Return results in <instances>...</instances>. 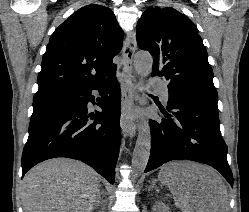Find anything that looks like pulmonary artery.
<instances>
[{
    "mask_svg": "<svg viewBox=\"0 0 249 212\" xmlns=\"http://www.w3.org/2000/svg\"><path fill=\"white\" fill-rule=\"evenodd\" d=\"M155 88H156L157 92L159 93L162 102L164 104H167L168 100H169V93H168L167 85L165 83H160V84L156 85Z\"/></svg>",
    "mask_w": 249,
    "mask_h": 212,
    "instance_id": "e3ab8cb5",
    "label": "pulmonary artery"
}]
</instances>
